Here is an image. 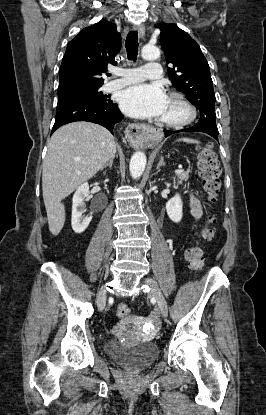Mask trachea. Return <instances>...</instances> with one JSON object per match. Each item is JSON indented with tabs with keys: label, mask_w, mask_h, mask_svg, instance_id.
Returning a JSON list of instances; mask_svg holds the SVG:
<instances>
[{
	"label": "trachea",
	"mask_w": 266,
	"mask_h": 415,
	"mask_svg": "<svg viewBox=\"0 0 266 415\" xmlns=\"http://www.w3.org/2000/svg\"><path fill=\"white\" fill-rule=\"evenodd\" d=\"M127 56L129 60H135L138 55V33L130 31L125 41Z\"/></svg>",
	"instance_id": "trachea-1"
}]
</instances>
